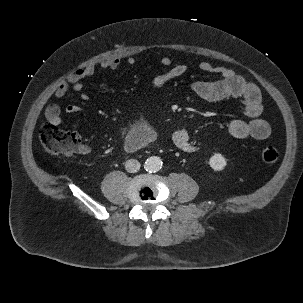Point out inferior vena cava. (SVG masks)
Here are the masks:
<instances>
[{
	"mask_svg": "<svg viewBox=\"0 0 303 303\" xmlns=\"http://www.w3.org/2000/svg\"><path fill=\"white\" fill-rule=\"evenodd\" d=\"M140 163L139 161L135 159H129L125 163L126 171L129 173H135L140 169Z\"/></svg>",
	"mask_w": 303,
	"mask_h": 303,
	"instance_id": "602c4592",
	"label": "inferior vena cava"
}]
</instances>
